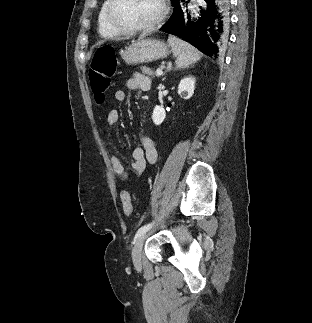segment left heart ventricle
Segmentation results:
<instances>
[{
	"label": "left heart ventricle",
	"instance_id": "b2bd125f",
	"mask_svg": "<svg viewBox=\"0 0 312 323\" xmlns=\"http://www.w3.org/2000/svg\"><path fill=\"white\" fill-rule=\"evenodd\" d=\"M160 0H115L112 7L113 18L122 22H148V14H161Z\"/></svg>",
	"mask_w": 312,
	"mask_h": 323
}]
</instances>
